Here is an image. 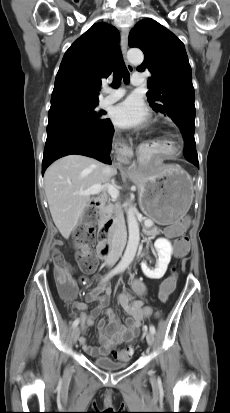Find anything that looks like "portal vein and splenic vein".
I'll list each match as a JSON object with an SVG mask.
<instances>
[{"instance_id": "obj_1", "label": "portal vein and splenic vein", "mask_w": 230, "mask_h": 413, "mask_svg": "<svg viewBox=\"0 0 230 413\" xmlns=\"http://www.w3.org/2000/svg\"><path fill=\"white\" fill-rule=\"evenodd\" d=\"M103 191H107V193L111 196L113 199H117L119 196V190L111 185V184H95L88 188L87 190L84 191H79L77 194L79 195H84V196H90V195H97Z\"/></svg>"}]
</instances>
